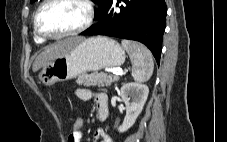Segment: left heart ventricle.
Masks as SVG:
<instances>
[{
	"label": "left heart ventricle",
	"instance_id": "obj_1",
	"mask_svg": "<svg viewBox=\"0 0 227 142\" xmlns=\"http://www.w3.org/2000/svg\"><path fill=\"white\" fill-rule=\"evenodd\" d=\"M86 14V8L78 0H57L43 9L39 22L44 32L60 34L79 27Z\"/></svg>",
	"mask_w": 227,
	"mask_h": 142
}]
</instances>
